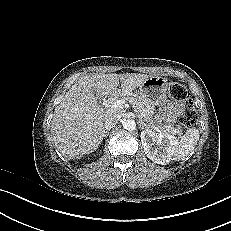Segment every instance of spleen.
I'll use <instances>...</instances> for the list:
<instances>
[{"mask_svg":"<svg viewBox=\"0 0 231 231\" xmlns=\"http://www.w3.org/2000/svg\"><path fill=\"white\" fill-rule=\"evenodd\" d=\"M199 130L197 128H190L182 136L181 140L175 146L173 152L174 160H181L185 158L190 152H192L199 140Z\"/></svg>","mask_w":231,"mask_h":231,"instance_id":"obj_1","label":"spleen"}]
</instances>
